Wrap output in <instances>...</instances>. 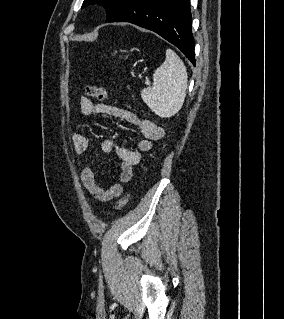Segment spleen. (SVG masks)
<instances>
[{
  "label": "spleen",
  "instance_id": "obj_1",
  "mask_svg": "<svg viewBox=\"0 0 284 319\" xmlns=\"http://www.w3.org/2000/svg\"><path fill=\"white\" fill-rule=\"evenodd\" d=\"M187 78L183 61L173 50L167 49L165 61L153 73V86L144 88L141 97L156 115L171 117L184 103Z\"/></svg>",
  "mask_w": 284,
  "mask_h": 319
}]
</instances>
